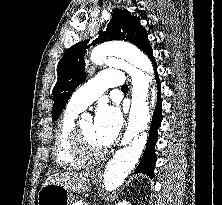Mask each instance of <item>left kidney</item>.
Returning <instances> with one entry per match:
<instances>
[{"label":"left kidney","instance_id":"5707ae66","mask_svg":"<svg viewBox=\"0 0 222 205\" xmlns=\"http://www.w3.org/2000/svg\"><path fill=\"white\" fill-rule=\"evenodd\" d=\"M117 205H131L129 202H127L126 200H123L122 202H118Z\"/></svg>","mask_w":222,"mask_h":205}]
</instances>
